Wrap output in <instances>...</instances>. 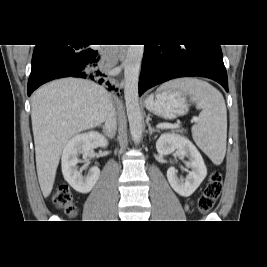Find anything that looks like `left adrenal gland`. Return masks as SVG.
<instances>
[{"instance_id": "1", "label": "left adrenal gland", "mask_w": 267, "mask_h": 267, "mask_svg": "<svg viewBox=\"0 0 267 267\" xmlns=\"http://www.w3.org/2000/svg\"><path fill=\"white\" fill-rule=\"evenodd\" d=\"M149 120H150V116H148V117H147V120H146V123H147V126H148V132H149V134L151 135V134L154 133V132H159V130H157V129H155V128H153V127L151 126V124L149 123Z\"/></svg>"}]
</instances>
